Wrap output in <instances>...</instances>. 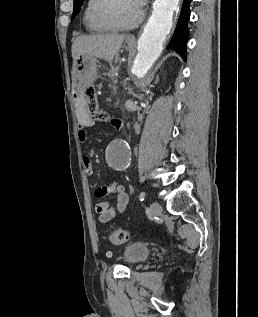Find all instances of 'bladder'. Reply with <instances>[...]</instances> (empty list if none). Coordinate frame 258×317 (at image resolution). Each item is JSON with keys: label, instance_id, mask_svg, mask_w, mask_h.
Masks as SVG:
<instances>
[{"label": "bladder", "instance_id": "31cf9c89", "mask_svg": "<svg viewBox=\"0 0 258 317\" xmlns=\"http://www.w3.org/2000/svg\"><path fill=\"white\" fill-rule=\"evenodd\" d=\"M150 249L143 243L135 242L128 245L123 251V258L127 264H136L144 260Z\"/></svg>", "mask_w": 258, "mask_h": 317}]
</instances>
